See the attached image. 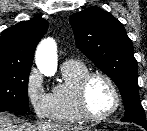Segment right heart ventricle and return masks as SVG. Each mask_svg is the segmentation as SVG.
Masks as SVG:
<instances>
[{
    "label": "right heart ventricle",
    "instance_id": "obj_1",
    "mask_svg": "<svg viewBox=\"0 0 147 131\" xmlns=\"http://www.w3.org/2000/svg\"><path fill=\"white\" fill-rule=\"evenodd\" d=\"M62 81L51 92L53 103L52 119L59 123L71 124L83 120L76 102V87L88 67L78 61H68L62 65Z\"/></svg>",
    "mask_w": 147,
    "mask_h": 131
}]
</instances>
